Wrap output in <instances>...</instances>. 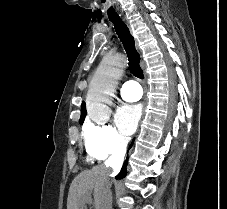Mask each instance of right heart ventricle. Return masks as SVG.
Returning a JSON list of instances; mask_svg holds the SVG:
<instances>
[{
    "mask_svg": "<svg viewBox=\"0 0 227 209\" xmlns=\"http://www.w3.org/2000/svg\"><path fill=\"white\" fill-rule=\"evenodd\" d=\"M94 157L93 156H91L90 154L88 155V160L90 161V162H93L94 161Z\"/></svg>",
    "mask_w": 227,
    "mask_h": 209,
    "instance_id": "1",
    "label": "right heart ventricle"
}]
</instances>
